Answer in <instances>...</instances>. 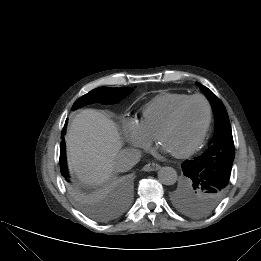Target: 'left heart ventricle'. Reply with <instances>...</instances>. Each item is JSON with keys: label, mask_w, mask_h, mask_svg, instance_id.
Returning <instances> with one entry per match:
<instances>
[{"label": "left heart ventricle", "mask_w": 261, "mask_h": 261, "mask_svg": "<svg viewBox=\"0 0 261 261\" xmlns=\"http://www.w3.org/2000/svg\"><path fill=\"white\" fill-rule=\"evenodd\" d=\"M206 116L207 110L203 101H190L181 111L175 125L163 134L161 145L172 152L189 147L202 132Z\"/></svg>", "instance_id": "1"}]
</instances>
